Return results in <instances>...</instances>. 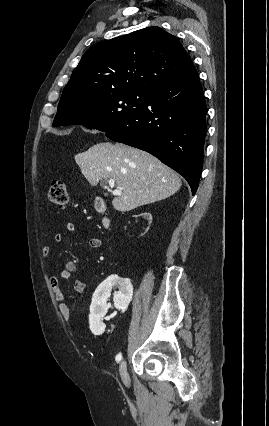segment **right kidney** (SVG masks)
<instances>
[{
  "label": "right kidney",
  "instance_id": "right-kidney-1",
  "mask_svg": "<svg viewBox=\"0 0 269 426\" xmlns=\"http://www.w3.org/2000/svg\"><path fill=\"white\" fill-rule=\"evenodd\" d=\"M140 221H145L141 225V232L138 233V238H143V234L147 235L150 232L152 216L150 213H138ZM134 219L132 216L129 218ZM118 287L119 291L114 293V304L116 307L125 310L130 305L132 298V285L127 279L111 276L99 285L92 298L90 307L89 324L90 330L94 335H101L105 331V324L102 322L103 317L107 313V300L111 295V289Z\"/></svg>",
  "mask_w": 269,
  "mask_h": 426
}]
</instances>
